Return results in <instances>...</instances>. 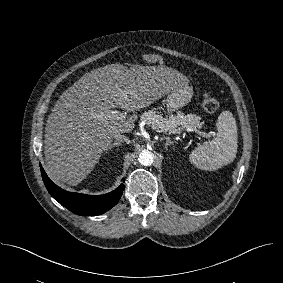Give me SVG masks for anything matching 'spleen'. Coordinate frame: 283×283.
Returning <instances> with one entry per match:
<instances>
[{
  "instance_id": "obj_1",
  "label": "spleen",
  "mask_w": 283,
  "mask_h": 283,
  "mask_svg": "<svg viewBox=\"0 0 283 283\" xmlns=\"http://www.w3.org/2000/svg\"><path fill=\"white\" fill-rule=\"evenodd\" d=\"M217 136L196 147L189 155L195 167L214 171L234 161L238 147L235 118L230 111H223L216 122Z\"/></svg>"
}]
</instances>
